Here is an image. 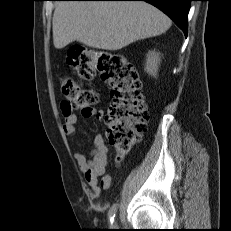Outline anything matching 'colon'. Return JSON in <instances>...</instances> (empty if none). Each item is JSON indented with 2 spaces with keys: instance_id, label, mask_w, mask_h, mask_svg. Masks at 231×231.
Listing matches in <instances>:
<instances>
[{
  "instance_id": "1",
  "label": "colon",
  "mask_w": 231,
  "mask_h": 231,
  "mask_svg": "<svg viewBox=\"0 0 231 231\" xmlns=\"http://www.w3.org/2000/svg\"><path fill=\"white\" fill-rule=\"evenodd\" d=\"M67 61L80 78L93 79L100 74L111 89L107 115L108 138L119 156L127 154L147 128L149 113L143 99L138 74L127 57L115 51L95 48L71 49ZM61 90L64 114L90 110L99 101L98 93L83 88L71 78H63Z\"/></svg>"
}]
</instances>
